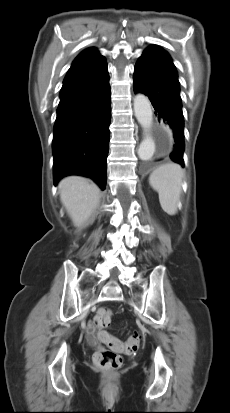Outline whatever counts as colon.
<instances>
[{
  "label": "colon",
  "instance_id": "1",
  "mask_svg": "<svg viewBox=\"0 0 230 413\" xmlns=\"http://www.w3.org/2000/svg\"><path fill=\"white\" fill-rule=\"evenodd\" d=\"M112 318L111 311L105 307L98 309L94 316V323L97 328L106 327ZM142 333L134 332L122 346L116 338L110 339V348L98 347L94 353V362L97 366L106 371H114L122 364V357L118 351L123 350L127 354L135 353L142 340Z\"/></svg>",
  "mask_w": 230,
  "mask_h": 413
}]
</instances>
